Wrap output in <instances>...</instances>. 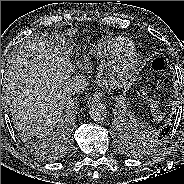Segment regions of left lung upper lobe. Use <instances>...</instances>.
<instances>
[{"instance_id":"left-lung-upper-lobe-1","label":"left lung upper lobe","mask_w":184,"mask_h":184,"mask_svg":"<svg viewBox=\"0 0 184 184\" xmlns=\"http://www.w3.org/2000/svg\"><path fill=\"white\" fill-rule=\"evenodd\" d=\"M138 134V140H141V138H143L147 144H140L142 145V148L144 147L146 149V146L149 147V145H153V143H156V142H161L163 141V138H159V137H155V136H151V135H143V136H140L139 133H136ZM139 145V144H138ZM145 145V146H143Z\"/></svg>"}]
</instances>
